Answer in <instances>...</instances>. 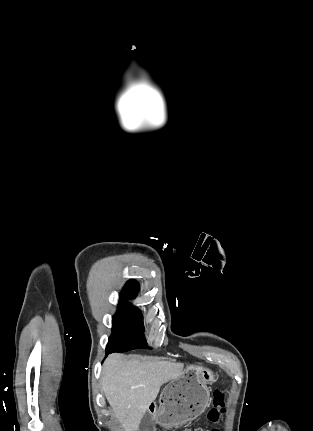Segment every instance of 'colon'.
<instances>
[{"instance_id": "1", "label": "colon", "mask_w": 313, "mask_h": 431, "mask_svg": "<svg viewBox=\"0 0 313 431\" xmlns=\"http://www.w3.org/2000/svg\"><path fill=\"white\" fill-rule=\"evenodd\" d=\"M225 404V392L221 390H215L213 392V407L208 413V419L212 422H217L223 412V407ZM184 431H219L218 429H203V428H190Z\"/></svg>"}]
</instances>
